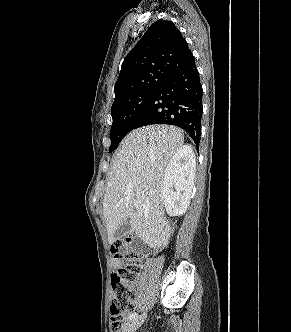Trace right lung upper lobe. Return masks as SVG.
<instances>
[{"instance_id":"right-lung-upper-lobe-1","label":"right lung upper lobe","mask_w":291,"mask_h":332,"mask_svg":"<svg viewBox=\"0 0 291 332\" xmlns=\"http://www.w3.org/2000/svg\"><path fill=\"white\" fill-rule=\"evenodd\" d=\"M192 61L193 54L175 24L156 21L125 57L114 86V101L162 81Z\"/></svg>"}]
</instances>
